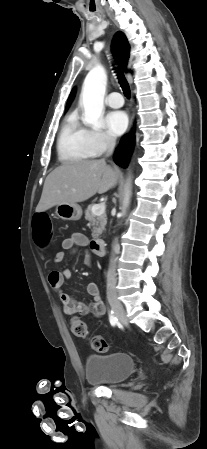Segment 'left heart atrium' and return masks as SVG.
<instances>
[{
	"instance_id": "obj_1",
	"label": "left heart atrium",
	"mask_w": 207,
	"mask_h": 449,
	"mask_svg": "<svg viewBox=\"0 0 207 449\" xmlns=\"http://www.w3.org/2000/svg\"><path fill=\"white\" fill-rule=\"evenodd\" d=\"M105 124L110 135L119 136L123 134L128 127V116L123 111L110 112L105 118Z\"/></svg>"
}]
</instances>
